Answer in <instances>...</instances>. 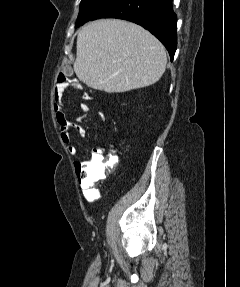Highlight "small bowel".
Listing matches in <instances>:
<instances>
[{
	"mask_svg": "<svg viewBox=\"0 0 240 287\" xmlns=\"http://www.w3.org/2000/svg\"><path fill=\"white\" fill-rule=\"evenodd\" d=\"M69 87L79 88L80 85L78 83H67L63 86L60 94L54 99L53 111L55 119L59 125L60 136L64 143L68 145V150L70 152L75 151L74 145L71 143L70 130L75 129L81 138H85L87 135V131L85 127L82 125L86 115L89 112V106L86 103H82L80 105L81 115L77 117L74 121H69L66 119L65 114L63 112V95ZM82 98L85 101L92 100V96L88 93H84ZM100 121H105V114L103 112H99L98 114ZM105 153V147L97 146L92 150V159H98L103 157ZM86 196L88 199H93V193L91 191L86 192Z\"/></svg>",
	"mask_w": 240,
	"mask_h": 287,
	"instance_id": "small-bowel-1",
	"label": "small bowel"
}]
</instances>
